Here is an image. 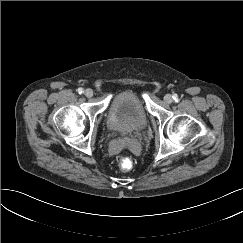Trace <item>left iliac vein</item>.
Returning <instances> with one entry per match:
<instances>
[{
	"label": "left iliac vein",
	"instance_id": "obj_1",
	"mask_svg": "<svg viewBox=\"0 0 243 243\" xmlns=\"http://www.w3.org/2000/svg\"><path fill=\"white\" fill-rule=\"evenodd\" d=\"M164 101H165V103H167V104H171V103L173 102V97H172L170 94H166V95L164 96Z\"/></svg>",
	"mask_w": 243,
	"mask_h": 243
}]
</instances>
